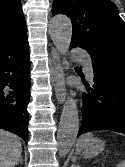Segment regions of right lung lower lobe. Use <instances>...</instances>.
I'll return each mask as SVG.
<instances>
[{"instance_id":"right-lung-lower-lobe-1","label":"right lung lower lobe","mask_w":125,"mask_h":167,"mask_svg":"<svg viewBox=\"0 0 125 167\" xmlns=\"http://www.w3.org/2000/svg\"><path fill=\"white\" fill-rule=\"evenodd\" d=\"M28 39L0 45V129L27 141L30 100Z\"/></svg>"}]
</instances>
